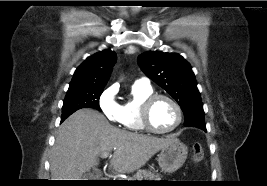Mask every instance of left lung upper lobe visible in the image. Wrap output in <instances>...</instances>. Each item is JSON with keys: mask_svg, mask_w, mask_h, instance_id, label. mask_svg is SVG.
<instances>
[{"mask_svg": "<svg viewBox=\"0 0 267 186\" xmlns=\"http://www.w3.org/2000/svg\"><path fill=\"white\" fill-rule=\"evenodd\" d=\"M143 72L180 105L185 126L206 130L204 110L190 64L177 53L147 51L138 57Z\"/></svg>", "mask_w": 267, "mask_h": 186, "instance_id": "5c2ea615", "label": "left lung upper lobe"}]
</instances>
